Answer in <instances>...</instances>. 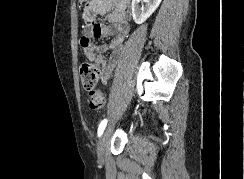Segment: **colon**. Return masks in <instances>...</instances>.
Instances as JSON below:
<instances>
[{
  "instance_id": "5ec220e1",
  "label": "colon",
  "mask_w": 244,
  "mask_h": 179,
  "mask_svg": "<svg viewBox=\"0 0 244 179\" xmlns=\"http://www.w3.org/2000/svg\"><path fill=\"white\" fill-rule=\"evenodd\" d=\"M99 78L98 67L92 62H82L80 65V80L88 92L87 104L91 109H103L106 104L104 92L97 88Z\"/></svg>"
}]
</instances>
